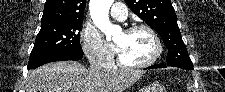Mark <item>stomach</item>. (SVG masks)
<instances>
[{
  "instance_id": "1",
  "label": "stomach",
  "mask_w": 225,
  "mask_h": 92,
  "mask_svg": "<svg viewBox=\"0 0 225 92\" xmlns=\"http://www.w3.org/2000/svg\"><path fill=\"white\" fill-rule=\"evenodd\" d=\"M142 92H166V90L161 84L153 83L145 87Z\"/></svg>"
}]
</instances>
